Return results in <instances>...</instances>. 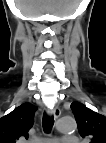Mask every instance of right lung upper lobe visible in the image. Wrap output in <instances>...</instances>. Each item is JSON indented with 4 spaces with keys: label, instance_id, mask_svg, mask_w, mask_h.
Returning <instances> with one entry per match:
<instances>
[{
    "label": "right lung upper lobe",
    "instance_id": "right-lung-upper-lobe-1",
    "mask_svg": "<svg viewBox=\"0 0 106 143\" xmlns=\"http://www.w3.org/2000/svg\"><path fill=\"white\" fill-rule=\"evenodd\" d=\"M36 110V106L24 103L0 118V143H17L20 138H28Z\"/></svg>",
    "mask_w": 106,
    "mask_h": 143
}]
</instances>
